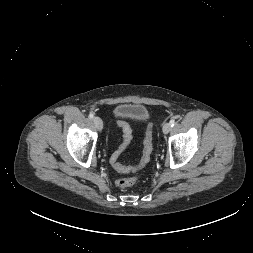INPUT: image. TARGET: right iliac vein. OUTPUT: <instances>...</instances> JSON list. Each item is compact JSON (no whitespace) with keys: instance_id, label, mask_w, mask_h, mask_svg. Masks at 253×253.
<instances>
[{"instance_id":"63e3f726","label":"right iliac vein","mask_w":253,"mask_h":253,"mask_svg":"<svg viewBox=\"0 0 253 253\" xmlns=\"http://www.w3.org/2000/svg\"><path fill=\"white\" fill-rule=\"evenodd\" d=\"M94 124L99 131L102 130L103 122L99 117H94Z\"/></svg>"}]
</instances>
